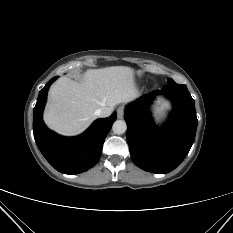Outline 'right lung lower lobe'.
Segmentation results:
<instances>
[{
	"label": "right lung lower lobe",
	"instance_id": "1",
	"mask_svg": "<svg viewBox=\"0 0 233 233\" xmlns=\"http://www.w3.org/2000/svg\"><path fill=\"white\" fill-rule=\"evenodd\" d=\"M57 78H52L39 93L33 110L34 138L43 156L56 170L64 174H78L98 162L117 113L96 120L88 130L76 137H62L50 131L42 120V112L49 87Z\"/></svg>",
	"mask_w": 233,
	"mask_h": 233
}]
</instances>
